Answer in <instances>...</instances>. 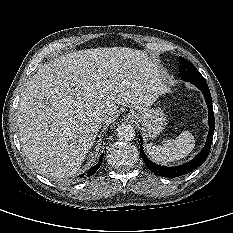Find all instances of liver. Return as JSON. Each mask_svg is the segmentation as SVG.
Returning <instances> with one entry per match:
<instances>
[{"mask_svg":"<svg viewBox=\"0 0 233 233\" xmlns=\"http://www.w3.org/2000/svg\"><path fill=\"white\" fill-rule=\"evenodd\" d=\"M167 91L145 52L128 47L80 50L43 65L22 92L17 126L25 155L47 178L75 176L92 148L104 115L119 105L146 111Z\"/></svg>","mask_w":233,"mask_h":233,"instance_id":"1","label":"liver"}]
</instances>
